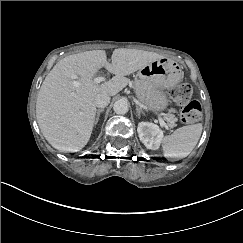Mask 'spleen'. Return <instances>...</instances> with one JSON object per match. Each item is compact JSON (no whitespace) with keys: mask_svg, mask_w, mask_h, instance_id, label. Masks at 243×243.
<instances>
[{"mask_svg":"<svg viewBox=\"0 0 243 243\" xmlns=\"http://www.w3.org/2000/svg\"><path fill=\"white\" fill-rule=\"evenodd\" d=\"M203 126L201 123L183 126L176 129L171 135L164 136L161 141L164 156L186 157L197 145Z\"/></svg>","mask_w":243,"mask_h":243,"instance_id":"obj_1","label":"spleen"}]
</instances>
